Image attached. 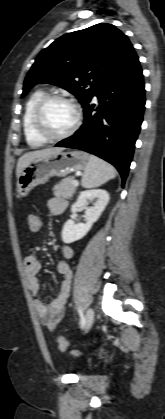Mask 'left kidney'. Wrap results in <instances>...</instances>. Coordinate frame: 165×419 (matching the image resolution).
Listing matches in <instances>:
<instances>
[{"instance_id":"obj_1","label":"left kidney","mask_w":165,"mask_h":419,"mask_svg":"<svg viewBox=\"0 0 165 419\" xmlns=\"http://www.w3.org/2000/svg\"><path fill=\"white\" fill-rule=\"evenodd\" d=\"M109 198L108 192L103 189L82 191L77 201L72 205L71 212L76 213L79 210H85L86 223L76 224L72 219L67 220L62 230L63 242L68 244L82 239L101 216ZM89 202H93V205L87 207Z\"/></svg>"}]
</instances>
